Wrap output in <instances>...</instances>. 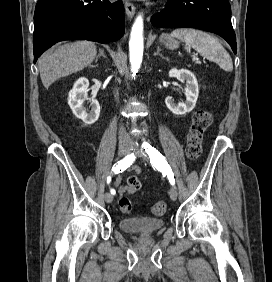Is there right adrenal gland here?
<instances>
[{"instance_id":"1","label":"right adrenal gland","mask_w":272,"mask_h":282,"mask_svg":"<svg viewBox=\"0 0 272 282\" xmlns=\"http://www.w3.org/2000/svg\"><path fill=\"white\" fill-rule=\"evenodd\" d=\"M101 56L104 57V58H107V56L105 55L103 49H99V53H98V55L96 56L95 62H97V61H98V58L101 57Z\"/></svg>"}]
</instances>
